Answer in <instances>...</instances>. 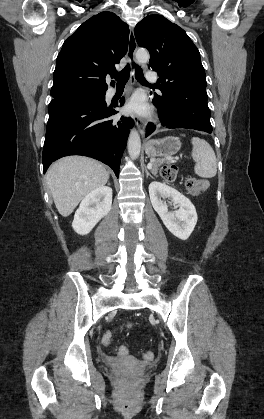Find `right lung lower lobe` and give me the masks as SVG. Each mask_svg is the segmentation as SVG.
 <instances>
[{"instance_id": "obj_1", "label": "right lung lower lobe", "mask_w": 264, "mask_h": 419, "mask_svg": "<svg viewBox=\"0 0 264 419\" xmlns=\"http://www.w3.org/2000/svg\"><path fill=\"white\" fill-rule=\"evenodd\" d=\"M121 105L124 99H121ZM105 98L52 100L43 148V171L67 155H84L109 165L116 176L132 118L109 119L117 113Z\"/></svg>"}]
</instances>
